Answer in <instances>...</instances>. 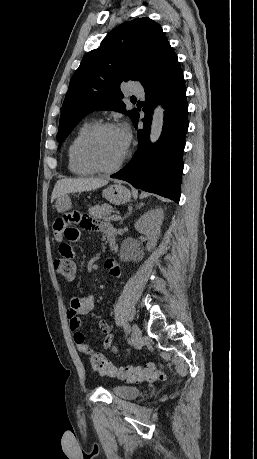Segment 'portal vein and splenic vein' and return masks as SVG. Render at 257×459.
<instances>
[{"label":"portal vein and splenic vein","mask_w":257,"mask_h":459,"mask_svg":"<svg viewBox=\"0 0 257 459\" xmlns=\"http://www.w3.org/2000/svg\"><path fill=\"white\" fill-rule=\"evenodd\" d=\"M120 218H121V216H119V215H114V216L111 217V219H112L113 221H117V220H119Z\"/></svg>","instance_id":"obj_1"}]
</instances>
